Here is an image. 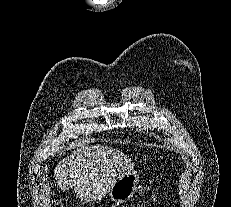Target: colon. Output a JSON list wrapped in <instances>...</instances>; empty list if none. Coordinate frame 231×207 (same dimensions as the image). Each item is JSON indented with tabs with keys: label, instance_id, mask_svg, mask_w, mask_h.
Instances as JSON below:
<instances>
[{
	"label": "colon",
	"instance_id": "obj_1",
	"mask_svg": "<svg viewBox=\"0 0 231 207\" xmlns=\"http://www.w3.org/2000/svg\"><path fill=\"white\" fill-rule=\"evenodd\" d=\"M51 207H64V206L60 201H54L52 203ZM143 207H145V206H143Z\"/></svg>",
	"mask_w": 231,
	"mask_h": 207
}]
</instances>
